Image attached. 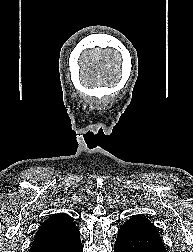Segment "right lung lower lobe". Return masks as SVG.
<instances>
[{"instance_id":"right-lung-lower-lobe-1","label":"right lung lower lobe","mask_w":193,"mask_h":252,"mask_svg":"<svg viewBox=\"0 0 193 252\" xmlns=\"http://www.w3.org/2000/svg\"><path fill=\"white\" fill-rule=\"evenodd\" d=\"M79 234L77 230L56 241L32 246L30 252H83Z\"/></svg>"}]
</instances>
